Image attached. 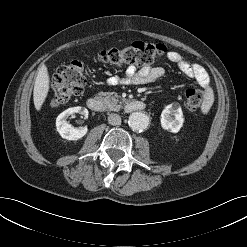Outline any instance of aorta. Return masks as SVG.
Here are the masks:
<instances>
[{
  "mask_svg": "<svg viewBox=\"0 0 247 247\" xmlns=\"http://www.w3.org/2000/svg\"><path fill=\"white\" fill-rule=\"evenodd\" d=\"M128 124L134 131H143L149 125V117L142 112H134L129 116Z\"/></svg>",
  "mask_w": 247,
  "mask_h": 247,
  "instance_id": "762f6f07",
  "label": "aorta"
}]
</instances>
